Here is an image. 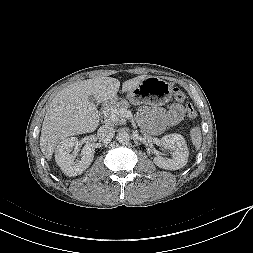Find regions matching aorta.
<instances>
[{
    "label": "aorta",
    "mask_w": 253,
    "mask_h": 253,
    "mask_svg": "<svg viewBox=\"0 0 253 253\" xmlns=\"http://www.w3.org/2000/svg\"><path fill=\"white\" fill-rule=\"evenodd\" d=\"M130 140V136L126 131H120L117 134V141L121 144H125L127 142H129Z\"/></svg>",
    "instance_id": "1"
}]
</instances>
